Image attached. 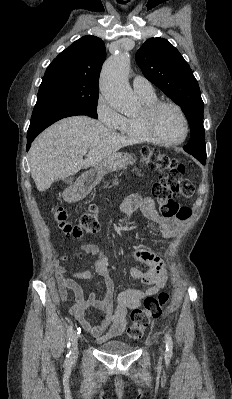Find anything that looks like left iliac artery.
<instances>
[{"instance_id":"left-iliac-artery-1","label":"left iliac artery","mask_w":232,"mask_h":399,"mask_svg":"<svg viewBox=\"0 0 232 399\" xmlns=\"http://www.w3.org/2000/svg\"><path fill=\"white\" fill-rule=\"evenodd\" d=\"M165 358L170 359L173 356V341L169 333L165 334Z\"/></svg>"}]
</instances>
